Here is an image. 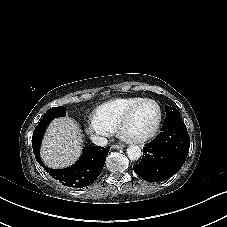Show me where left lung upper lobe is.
Returning <instances> with one entry per match:
<instances>
[{
	"label": "left lung upper lobe",
	"mask_w": 227,
	"mask_h": 227,
	"mask_svg": "<svg viewBox=\"0 0 227 227\" xmlns=\"http://www.w3.org/2000/svg\"><path fill=\"white\" fill-rule=\"evenodd\" d=\"M165 111H166V115L167 116L180 117V112L176 108H174V107H168V106H166Z\"/></svg>",
	"instance_id": "obj_1"
}]
</instances>
